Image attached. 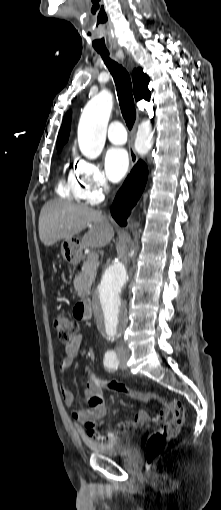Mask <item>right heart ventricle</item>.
Segmentation results:
<instances>
[{
    "instance_id": "e07e8e85",
    "label": "right heart ventricle",
    "mask_w": 221,
    "mask_h": 510,
    "mask_svg": "<svg viewBox=\"0 0 221 510\" xmlns=\"http://www.w3.org/2000/svg\"><path fill=\"white\" fill-rule=\"evenodd\" d=\"M56 192L62 198L68 200H76L78 196L74 187L73 171H70L66 177H62L59 181Z\"/></svg>"
}]
</instances>
